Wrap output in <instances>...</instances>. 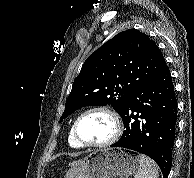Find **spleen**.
<instances>
[{"label": "spleen", "instance_id": "1", "mask_svg": "<svg viewBox=\"0 0 194 178\" xmlns=\"http://www.w3.org/2000/svg\"><path fill=\"white\" fill-rule=\"evenodd\" d=\"M139 168L134 178H159V170L152 159L139 155Z\"/></svg>", "mask_w": 194, "mask_h": 178}]
</instances>
